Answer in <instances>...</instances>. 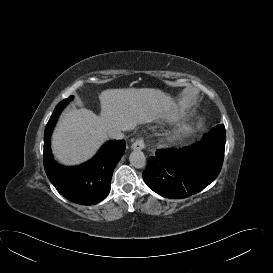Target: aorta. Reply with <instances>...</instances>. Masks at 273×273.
I'll return each mask as SVG.
<instances>
[{"label":"aorta","instance_id":"aorta-1","mask_svg":"<svg viewBox=\"0 0 273 273\" xmlns=\"http://www.w3.org/2000/svg\"><path fill=\"white\" fill-rule=\"evenodd\" d=\"M129 161L133 167L138 169L144 168L146 165V157L140 150L133 151L129 156Z\"/></svg>","mask_w":273,"mask_h":273}]
</instances>
